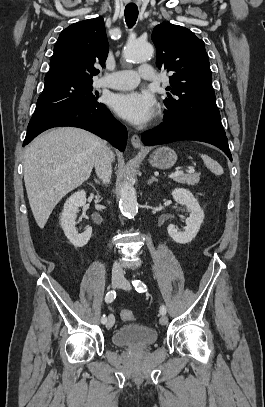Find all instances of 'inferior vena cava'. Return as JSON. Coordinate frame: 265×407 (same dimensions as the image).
Wrapping results in <instances>:
<instances>
[{
  "mask_svg": "<svg viewBox=\"0 0 265 407\" xmlns=\"http://www.w3.org/2000/svg\"><path fill=\"white\" fill-rule=\"evenodd\" d=\"M113 161V153L108 147H105L104 150L98 155L95 162V171L98 177L103 181L104 184L110 182L112 168L111 162ZM112 276L117 278H123V270L121 266L115 262L112 268Z\"/></svg>",
  "mask_w": 265,
  "mask_h": 407,
  "instance_id": "1",
  "label": "inferior vena cava"
}]
</instances>
